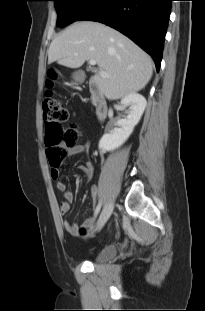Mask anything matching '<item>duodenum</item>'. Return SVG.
Wrapping results in <instances>:
<instances>
[{"label": "duodenum", "mask_w": 205, "mask_h": 311, "mask_svg": "<svg viewBox=\"0 0 205 311\" xmlns=\"http://www.w3.org/2000/svg\"><path fill=\"white\" fill-rule=\"evenodd\" d=\"M90 95L94 103L97 120L105 119L109 111L108 101L103 96L99 85L95 81L90 82Z\"/></svg>", "instance_id": "1"}]
</instances>
